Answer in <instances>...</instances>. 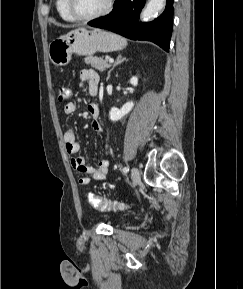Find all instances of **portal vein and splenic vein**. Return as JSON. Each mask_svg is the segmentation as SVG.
<instances>
[{"label": "portal vein and splenic vein", "mask_w": 243, "mask_h": 289, "mask_svg": "<svg viewBox=\"0 0 243 289\" xmlns=\"http://www.w3.org/2000/svg\"><path fill=\"white\" fill-rule=\"evenodd\" d=\"M114 60L112 58L109 59V63H113Z\"/></svg>", "instance_id": "portal-vein-and-splenic-vein-1"}]
</instances>
